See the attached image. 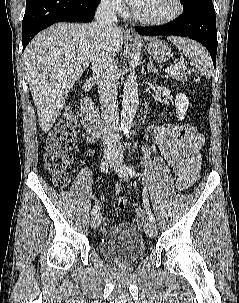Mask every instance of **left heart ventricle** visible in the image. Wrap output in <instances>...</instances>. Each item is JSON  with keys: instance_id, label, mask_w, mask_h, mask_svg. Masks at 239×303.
Instances as JSON below:
<instances>
[{"instance_id": "1", "label": "left heart ventricle", "mask_w": 239, "mask_h": 303, "mask_svg": "<svg viewBox=\"0 0 239 303\" xmlns=\"http://www.w3.org/2000/svg\"><path fill=\"white\" fill-rule=\"evenodd\" d=\"M175 9L174 0H144L136 12L146 17H164Z\"/></svg>"}]
</instances>
